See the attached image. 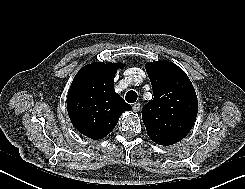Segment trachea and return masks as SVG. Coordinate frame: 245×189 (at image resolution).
<instances>
[{
  "label": "trachea",
  "mask_w": 245,
  "mask_h": 189,
  "mask_svg": "<svg viewBox=\"0 0 245 189\" xmlns=\"http://www.w3.org/2000/svg\"><path fill=\"white\" fill-rule=\"evenodd\" d=\"M125 100L128 103H134L137 100V93L133 90L127 92L126 96H125Z\"/></svg>",
  "instance_id": "obj_1"
}]
</instances>
